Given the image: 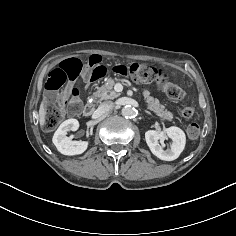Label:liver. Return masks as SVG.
Listing matches in <instances>:
<instances>
[{
  "label": "liver",
  "mask_w": 236,
  "mask_h": 236,
  "mask_svg": "<svg viewBox=\"0 0 236 236\" xmlns=\"http://www.w3.org/2000/svg\"><path fill=\"white\" fill-rule=\"evenodd\" d=\"M46 108H45V100L43 99V101L40 104V109H39V123L40 126H44L45 121H46Z\"/></svg>",
  "instance_id": "obj_1"
}]
</instances>
